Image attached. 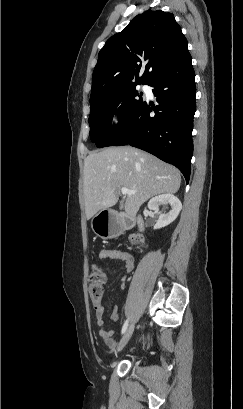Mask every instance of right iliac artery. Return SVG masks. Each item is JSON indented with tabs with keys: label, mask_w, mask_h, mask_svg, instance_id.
Segmentation results:
<instances>
[{
	"label": "right iliac artery",
	"mask_w": 243,
	"mask_h": 409,
	"mask_svg": "<svg viewBox=\"0 0 243 409\" xmlns=\"http://www.w3.org/2000/svg\"><path fill=\"white\" fill-rule=\"evenodd\" d=\"M128 323H129V321H128V319H127V320L125 321V323H124L123 327H122L121 334H124V333H125V331L127 330Z\"/></svg>",
	"instance_id": "82829eb1"
}]
</instances>
